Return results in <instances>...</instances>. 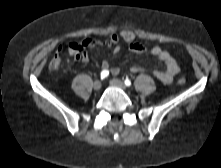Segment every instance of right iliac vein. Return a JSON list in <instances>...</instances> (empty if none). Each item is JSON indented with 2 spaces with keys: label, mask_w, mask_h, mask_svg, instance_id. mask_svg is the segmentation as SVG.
I'll use <instances>...</instances> for the list:
<instances>
[{
  "label": "right iliac vein",
  "mask_w": 221,
  "mask_h": 168,
  "mask_svg": "<svg viewBox=\"0 0 221 168\" xmlns=\"http://www.w3.org/2000/svg\"><path fill=\"white\" fill-rule=\"evenodd\" d=\"M101 86H102V84H101V82H100L99 80H96V81L94 82V84H93V88H94L95 90H100Z\"/></svg>",
  "instance_id": "obj_1"
}]
</instances>
